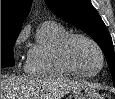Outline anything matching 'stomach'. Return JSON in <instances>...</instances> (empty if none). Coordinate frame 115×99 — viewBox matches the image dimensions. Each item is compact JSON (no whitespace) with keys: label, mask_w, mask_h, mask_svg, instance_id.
Here are the masks:
<instances>
[{"label":"stomach","mask_w":115,"mask_h":99,"mask_svg":"<svg viewBox=\"0 0 115 99\" xmlns=\"http://www.w3.org/2000/svg\"><path fill=\"white\" fill-rule=\"evenodd\" d=\"M68 99H101L99 93L88 85L74 89Z\"/></svg>","instance_id":"obj_1"}]
</instances>
